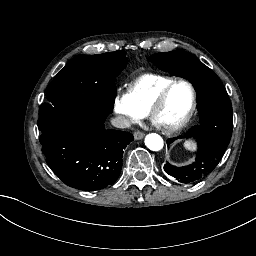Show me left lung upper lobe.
Instances as JSON below:
<instances>
[{"instance_id": "5c2ea615", "label": "left lung upper lobe", "mask_w": 256, "mask_h": 256, "mask_svg": "<svg viewBox=\"0 0 256 256\" xmlns=\"http://www.w3.org/2000/svg\"><path fill=\"white\" fill-rule=\"evenodd\" d=\"M163 71L189 80L196 89L201 125L189 131L198 141L195 162L185 167L164 165L166 173L206 176L221 160L232 135V105L217 75L194 55L182 50L158 53L148 59ZM181 138V136H180ZM174 138L167 140V145Z\"/></svg>"}]
</instances>
